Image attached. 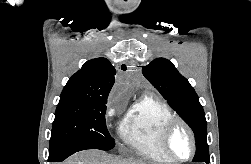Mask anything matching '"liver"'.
I'll list each match as a JSON object with an SVG mask.
<instances>
[{
    "label": "liver",
    "instance_id": "1",
    "mask_svg": "<svg viewBox=\"0 0 251 164\" xmlns=\"http://www.w3.org/2000/svg\"><path fill=\"white\" fill-rule=\"evenodd\" d=\"M62 164H147L130 158L123 159L99 150H86L78 152ZM154 164V163H148Z\"/></svg>",
    "mask_w": 251,
    "mask_h": 164
}]
</instances>
